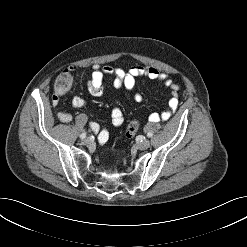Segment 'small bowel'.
<instances>
[{
  "label": "small bowel",
  "instance_id": "small-bowel-1",
  "mask_svg": "<svg viewBox=\"0 0 247 247\" xmlns=\"http://www.w3.org/2000/svg\"><path fill=\"white\" fill-rule=\"evenodd\" d=\"M70 72H75L76 67H69ZM113 76V85L116 88H124L127 91H133L135 88L136 80L138 78H148L163 83L170 89L171 97L168 102V109L161 113H152L148 116L149 122H158L159 120H167L175 112L178 105V85L171 80V78L164 72L159 71L152 66L136 65L125 71L121 68L112 66L94 65L87 82V91L94 97L101 96L104 92L103 81L106 77ZM136 103L143 102V96L140 93L134 94L133 97ZM57 102L54 101V105ZM74 108H83L87 105V101L82 96H75L71 102ZM57 118L64 123L72 121V116L65 112H57ZM111 121L114 126H121L124 122V115L119 107H115L111 111ZM90 128L93 132L98 134L100 143H106L109 139V132L105 128H100L96 123H91Z\"/></svg>",
  "mask_w": 247,
  "mask_h": 247
}]
</instances>
